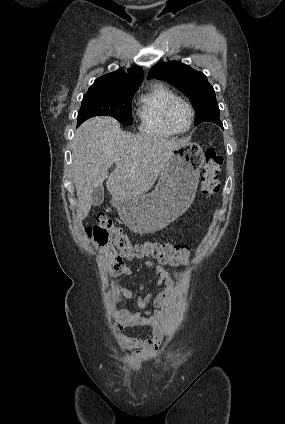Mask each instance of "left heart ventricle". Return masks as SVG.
I'll return each mask as SVG.
<instances>
[{
	"label": "left heart ventricle",
	"instance_id": "left-heart-ventricle-1",
	"mask_svg": "<svg viewBox=\"0 0 285 424\" xmlns=\"http://www.w3.org/2000/svg\"><path fill=\"white\" fill-rule=\"evenodd\" d=\"M172 125L179 131L187 129L190 123L189 109L183 103H177L170 114Z\"/></svg>",
	"mask_w": 285,
	"mask_h": 424
}]
</instances>
